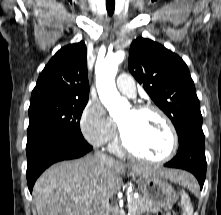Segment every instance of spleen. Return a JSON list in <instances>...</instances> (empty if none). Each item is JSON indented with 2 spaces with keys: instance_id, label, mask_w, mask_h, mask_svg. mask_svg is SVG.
Segmentation results:
<instances>
[{
  "instance_id": "3e777b00",
  "label": "spleen",
  "mask_w": 221,
  "mask_h": 215,
  "mask_svg": "<svg viewBox=\"0 0 221 215\" xmlns=\"http://www.w3.org/2000/svg\"><path fill=\"white\" fill-rule=\"evenodd\" d=\"M185 186L191 187L190 183L186 184ZM181 205L183 208V215H192L193 214V207L191 205L190 199L187 194L183 193L181 197Z\"/></svg>"
}]
</instances>
